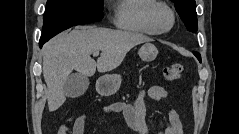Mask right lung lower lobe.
I'll return each mask as SVG.
<instances>
[{"instance_id": "obj_1", "label": "right lung lower lobe", "mask_w": 239, "mask_h": 134, "mask_svg": "<svg viewBox=\"0 0 239 134\" xmlns=\"http://www.w3.org/2000/svg\"><path fill=\"white\" fill-rule=\"evenodd\" d=\"M50 38L52 37L40 38V41H39L40 48H42L43 44L47 42Z\"/></svg>"}]
</instances>
